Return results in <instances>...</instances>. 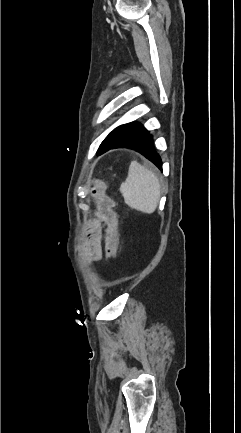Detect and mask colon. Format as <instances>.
Masks as SVG:
<instances>
[{"instance_id":"1","label":"colon","mask_w":241,"mask_h":433,"mask_svg":"<svg viewBox=\"0 0 241 433\" xmlns=\"http://www.w3.org/2000/svg\"><path fill=\"white\" fill-rule=\"evenodd\" d=\"M93 195L98 201V211L105 219L109 235L107 239L108 254L111 259H115L120 248L119 221L113 211L114 200L108 195L107 187L104 183H99L93 190Z\"/></svg>"}]
</instances>
